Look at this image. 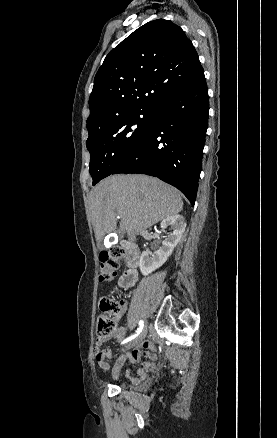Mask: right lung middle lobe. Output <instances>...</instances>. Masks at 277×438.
I'll list each match as a JSON object with an SVG mask.
<instances>
[{
    "mask_svg": "<svg viewBox=\"0 0 277 438\" xmlns=\"http://www.w3.org/2000/svg\"><path fill=\"white\" fill-rule=\"evenodd\" d=\"M154 109L116 116L88 129L86 146L90 152L89 172L93 185L113 174L143 141L153 120Z\"/></svg>",
    "mask_w": 277,
    "mask_h": 438,
    "instance_id": "obj_1",
    "label": "right lung middle lobe"
}]
</instances>
